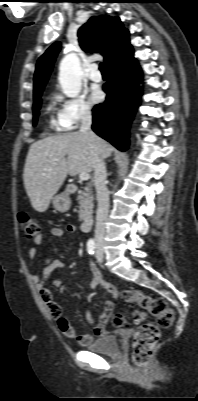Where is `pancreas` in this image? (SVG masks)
I'll return each instance as SVG.
<instances>
[{"mask_svg": "<svg viewBox=\"0 0 198 401\" xmlns=\"http://www.w3.org/2000/svg\"><path fill=\"white\" fill-rule=\"evenodd\" d=\"M93 192L89 186L84 187V190L78 192L76 200L78 201L79 207V220L83 221L87 216L93 212Z\"/></svg>", "mask_w": 198, "mask_h": 401, "instance_id": "obj_1", "label": "pancreas"}]
</instances>
